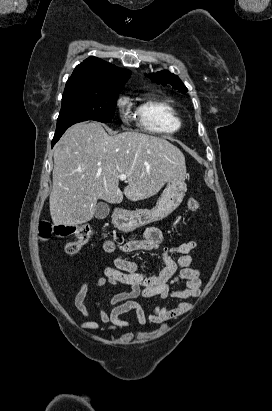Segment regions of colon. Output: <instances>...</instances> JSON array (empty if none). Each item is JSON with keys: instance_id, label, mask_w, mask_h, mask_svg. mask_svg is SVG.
<instances>
[{"instance_id": "1", "label": "colon", "mask_w": 272, "mask_h": 411, "mask_svg": "<svg viewBox=\"0 0 272 411\" xmlns=\"http://www.w3.org/2000/svg\"><path fill=\"white\" fill-rule=\"evenodd\" d=\"M186 207L189 212L195 213L200 209V204L196 198H190ZM39 232L42 239L51 237L71 238L65 245V252L72 255L77 253L89 241L92 228L88 224L51 225L47 222H41Z\"/></svg>"}]
</instances>
